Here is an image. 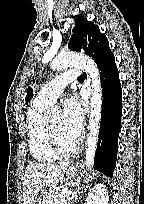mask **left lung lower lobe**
<instances>
[{"label": "left lung lower lobe", "instance_id": "left-lung-lower-lobe-1", "mask_svg": "<svg viewBox=\"0 0 144 204\" xmlns=\"http://www.w3.org/2000/svg\"><path fill=\"white\" fill-rule=\"evenodd\" d=\"M98 68L103 87V107L94 168L112 177L121 131L122 89L114 57L100 64Z\"/></svg>", "mask_w": 144, "mask_h": 204}]
</instances>
